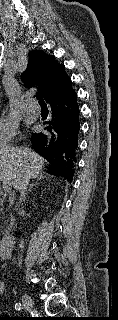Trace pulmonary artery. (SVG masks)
<instances>
[{"mask_svg": "<svg viewBox=\"0 0 118 320\" xmlns=\"http://www.w3.org/2000/svg\"><path fill=\"white\" fill-rule=\"evenodd\" d=\"M24 109L30 114H37L40 110L38 104L34 101H26L24 104Z\"/></svg>", "mask_w": 118, "mask_h": 320, "instance_id": "pulmonary-artery-1", "label": "pulmonary artery"}]
</instances>
